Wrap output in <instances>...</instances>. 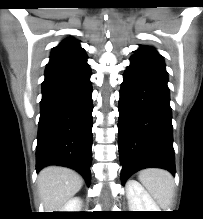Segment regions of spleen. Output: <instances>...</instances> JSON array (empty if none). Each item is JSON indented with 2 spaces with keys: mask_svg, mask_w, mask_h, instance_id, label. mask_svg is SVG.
Returning <instances> with one entry per match:
<instances>
[{
  "mask_svg": "<svg viewBox=\"0 0 203 219\" xmlns=\"http://www.w3.org/2000/svg\"><path fill=\"white\" fill-rule=\"evenodd\" d=\"M138 178L162 209H166L170 205L173 196L174 181L169 172L149 168L142 170Z\"/></svg>",
  "mask_w": 203,
  "mask_h": 219,
  "instance_id": "spleen-1",
  "label": "spleen"
}]
</instances>
